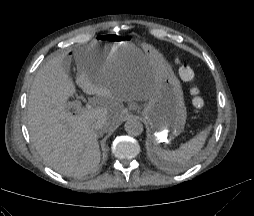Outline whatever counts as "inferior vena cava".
Masks as SVG:
<instances>
[{
  "label": "inferior vena cava",
  "mask_w": 254,
  "mask_h": 216,
  "mask_svg": "<svg viewBox=\"0 0 254 216\" xmlns=\"http://www.w3.org/2000/svg\"><path fill=\"white\" fill-rule=\"evenodd\" d=\"M105 126V121L103 120H98L94 125L93 128L97 132H104L106 129L104 128Z\"/></svg>",
  "instance_id": "obj_1"
}]
</instances>
